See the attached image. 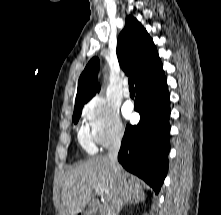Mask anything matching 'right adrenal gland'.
Returning <instances> with one entry per match:
<instances>
[{
    "instance_id": "1",
    "label": "right adrenal gland",
    "mask_w": 221,
    "mask_h": 215,
    "mask_svg": "<svg viewBox=\"0 0 221 215\" xmlns=\"http://www.w3.org/2000/svg\"><path fill=\"white\" fill-rule=\"evenodd\" d=\"M144 198L139 196V195H135V194H131L129 193L124 201V203L122 204L120 210H122L123 206H126L128 204H137L139 203L140 201H143Z\"/></svg>"
}]
</instances>
